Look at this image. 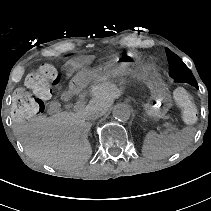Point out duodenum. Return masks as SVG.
I'll return each instance as SVG.
<instances>
[{
	"instance_id": "1",
	"label": "duodenum",
	"mask_w": 211,
	"mask_h": 211,
	"mask_svg": "<svg viewBox=\"0 0 211 211\" xmlns=\"http://www.w3.org/2000/svg\"><path fill=\"white\" fill-rule=\"evenodd\" d=\"M82 90V84L78 81H74L71 83L69 87V93L71 95H76Z\"/></svg>"
}]
</instances>
